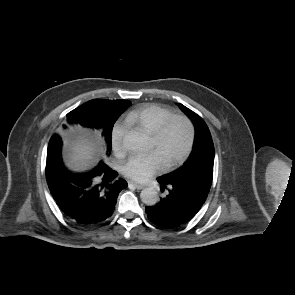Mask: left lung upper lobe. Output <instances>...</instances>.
Segmentation results:
<instances>
[{
    "instance_id": "obj_1",
    "label": "left lung upper lobe",
    "mask_w": 295,
    "mask_h": 295,
    "mask_svg": "<svg viewBox=\"0 0 295 295\" xmlns=\"http://www.w3.org/2000/svg\"><path fill=\"white\" fill-rule=\"evenodd\" d=\"M178 106L194 124L195 139L193 150L180 168L159 178L180 180L186 183L200 180L212 183L214 146L210 131L199 115L182 104H178Z\"/></svg>"
}]
</instances>
